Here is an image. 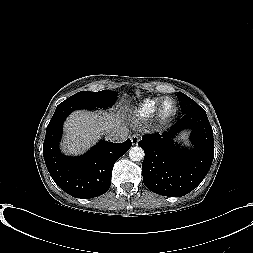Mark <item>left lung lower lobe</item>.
Segmentation results:
<instances>
[{"label": "left lung lower lobe", "mask_w": 253, "mask_h": 253, "mask_svg": "<svg viewBox=\"0 0 253 253\" xmlns=\"http://www.w3.org/2000/svg\"><path fill=\"white\" fill-rule=\"evenodd\" d=\"M184 128L192 131L191 150L172 140ZM138 145L145 152L143 182L163 196L181 197L191 192L205 178L214 158L213 130L205 111L184 114L168 132L143 135Z\"/></svg>", "instance_id": "left-lung-lower-lobe-1"}]
</instances>
